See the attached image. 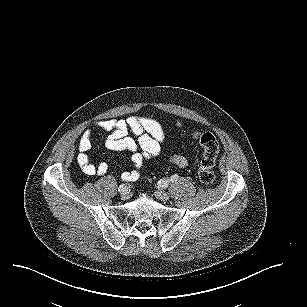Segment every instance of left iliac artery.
Wrapping results in <instances>:
<instances>
[{
  "label": "left iliac artery",
  "instance_id": "44dca946",
  "mask_svg": "<svg viewBox=\"0 0 307 307\" xmlns=\"http://www.w3.org/2000/svg\"><path fill=\"white\" fill-rule=\"evenodd\" d=\"M178 179H179V176H178L177 174H174V175H172V176L170 177L169 180H160V181H158V184H159L161 187H166V186H168V183H169V182L174 183V182L178 181Z\"/></svg>",
  "mask_w": 307,
  "mask_h": 307
}]
</instances>
